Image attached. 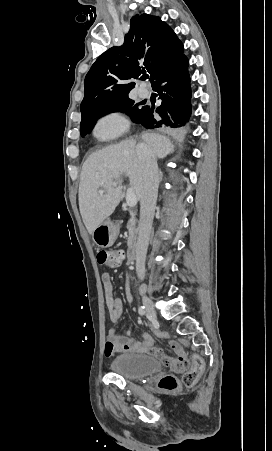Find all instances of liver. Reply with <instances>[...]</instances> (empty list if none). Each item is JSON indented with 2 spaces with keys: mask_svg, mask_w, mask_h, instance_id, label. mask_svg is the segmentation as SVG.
<instances>
[{
  "mask_svg": "<svg viewBox=\"0 0 272 451\" xmlns=\"http://www.w3.org/2000/svg\"><path fill=\"white\" fill-rule=\"evenodd\" d=\"M155 158H166L174 152L169 138L160 134H142ZM122 174H128L130 186L140 200L143 190V166L137 156L136 140H122L93 152L82 166L79 184V210L89 233L113 214L122 196ZM118 182V188H113ZM104 190V194H99Z\"/></svg>",
  "mask_w": 272,
  "mask_h": 451,
  "instance_id": "1",
  "label": "liver"
}]
</instances>
